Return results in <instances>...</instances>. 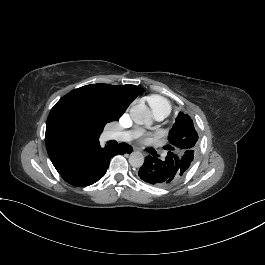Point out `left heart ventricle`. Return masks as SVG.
I'll use <instances>...</instances> for the list:
<instances>
[{"instance_id":"obj_1","label":"left heart ventricle","mask_w":265,"mask_h":265,"mask_svg":"<svg viewBox=\"0 0 265 265\" xmlns=\"http://www.w3.org/2000/svg\"><path fill=\"white\" fill-rule=\"evenodd\" d=\"M149 112H150L149 120L145 124L141 125V128L145 131H153L156 129L155 121L157 120V117L150 110Z\"/></svg>"}]
</instances>
